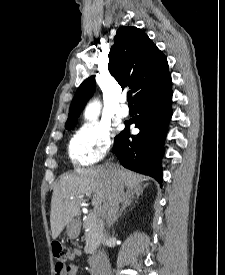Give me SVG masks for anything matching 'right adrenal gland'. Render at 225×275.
<instances>
[{
    "label": "right adrenal gland",
    "instance_id": "obj_1",
    "mask_svg": "<svg viewBox=\"0 0 225 275\" xmlns=\"http://www.w3.org/2000/svg\"><path fill=\"white\" fill-rule=\"evenodd\" d=\"M142 194V190L139 191H127L125 194V198L122 203V207L120 209V212L117 215L116 221L121 217L123 211L130 206L133 203V200H138L139 196Z\"/></svg>",
    "mask_w": 225,
    "mask_h": 275
}]
</instances>
